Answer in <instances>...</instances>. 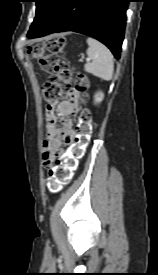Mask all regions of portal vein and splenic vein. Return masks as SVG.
Wrapping results in <instances>:
<instances>
[{"instance_id":"1","label":"portal vein and splenic vein","mask_w":158,"mask_h":275,"mask_svg":"<svg viewBox=\"0 0 158 275\" xmlns=\"http://www.w3.org/2000/svg\"><path fill=\"white\" fill-rule=\"evenodd\" d=\"M90 60V58H87V61H89Z\"/></svg>"}]
</instances>
